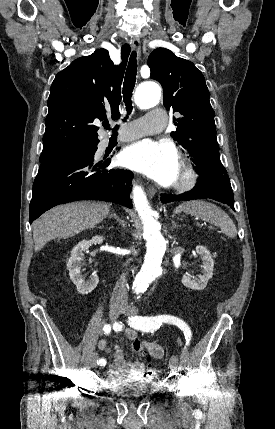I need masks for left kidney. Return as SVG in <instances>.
Here are the masks:
<instances>
[{
	"label": "left kidney",
	"instance_id": "1",
	"mask_svg": "<svg viewBox=\"0 0 275 429\" xmlns=\"http://www.w3.org/2000/svg\"><path fill=\"white\" fill-rule=\"evenodd\" d=\"M196 252L202 259V275L195 280L191 279L187 275H183L182 284L192 290H203L213 276L214 261L210 252L205 247L201 245L196 246Z\"/></svg>",
	"mask_w": 275,
	"mask_h": 429
}]
</instances>
